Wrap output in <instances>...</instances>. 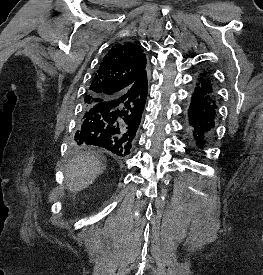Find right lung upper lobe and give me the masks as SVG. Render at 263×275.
<instances>
[{
  "instance_id": "cb5924a9",
  "label": "right lung upper lobe",
  "mask_w": 263,
  "mask_h": 275,
  "mask_svg": "<svg viewBox=\"0 0 263 275\" xmlns=\"http://www.w3.org/2000/svg\"><path fill=\"white\" fill-rule=\"evenodd\" d=\"M146 57L139 45L124 43L114 45L105 55L89 87V95L103 99L127 94L129 107L142 113L148 85L143 83Z\"/></svg>"
}]
</instances>
